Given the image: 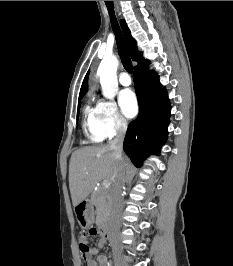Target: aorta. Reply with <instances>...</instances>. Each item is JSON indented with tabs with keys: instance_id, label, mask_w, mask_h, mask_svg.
Returning <instances> with one entry per match:
<instances>
[{
	"instance_id": "762f6f07",
	"label": "aorta",
	"mask_w": 233,
	"mask_h": 266,
	"mask_svg": "<svg viewBox=\"0 0 233 266\" xmlns=\"http://www.w3.org/2000/svg\"><path fill=\"white\" fill-rule=\"evenodd\" d=\"M119 62L115 56L105 57L97 70L102 92L105 98L113 99L118 92L117 68Z\"/></svg>"
}]
</instances>
